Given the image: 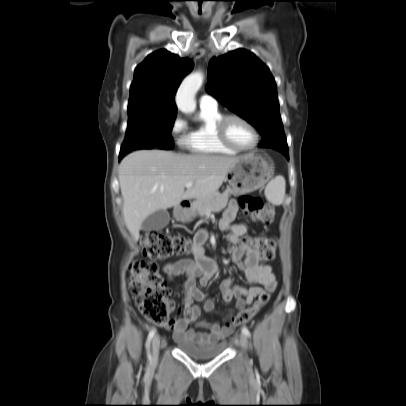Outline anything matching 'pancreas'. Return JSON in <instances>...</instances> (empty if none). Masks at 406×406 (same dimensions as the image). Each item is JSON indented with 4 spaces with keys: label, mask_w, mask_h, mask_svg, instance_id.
I'll list each match as a JSON object with an SVG mask.
<instances>
[{
    "label": "pancreas",
    "mask_w": 406,
    "mask_h": 406,
    "mask_svg": "<svg viewBox=\"0 0 406 406\" xmlns=\"http://www.w3.org/2000/svg\"><path fill=\"white\" fill-rule=\"evenodd\" d=\"M230 194L231 190H226L222 194L216 192L208 197L197 198L193 203V213L202 217L207 212H219L223 210L227 206Z\"/></svg>",
    "instance_id": "cf45deb5"
}]
</instances>
